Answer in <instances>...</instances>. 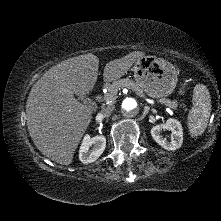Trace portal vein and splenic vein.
Segmentation results:
<instances>
[{"label": "portal vein and splenic vein", "instance_id": "1", "mask_svg": "<svg viewBox=\"0 0 221 221\" xmlns=\"http://www.w3.org/2000/svg\"><path fill=\"white\" fill-rule=\"evenodd\" d=\"M133 90V89H132ZM135 91V90H134ZM136 92V91H135ZM138 95H140V94H138ZM140 96H142V97H144L143 95H140ZM145 99H148V98H146V97H144ZM150 100V99H149ZM151 101H153V100H151ZM157 102H159V103H161V104H165V102L164 101H162V100H158Z\"/></svg>", "mask_w": 221, "mask_h": 221}]
</instances>
